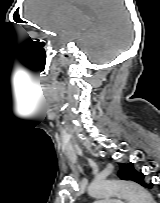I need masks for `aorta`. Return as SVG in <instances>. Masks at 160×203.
I'll return each mask as SVG.
<instances>
[{
  "instance_id": "1",
  "label": "aorta",
  "mask_w": 160,
  "mask_h": 203,
  "mask_svg": "<svg viewBox=\"0 0 160 203\" xmlns=\"http://www.w3.org/2000/svg\"><path fill=\"white\" fill-rule=\"evenodd\" d=\"M88 193L94 197L120 196L129 203H155L151 194L137 183L122 180L95 181Z\"/></svg>"
}]
</instances>
